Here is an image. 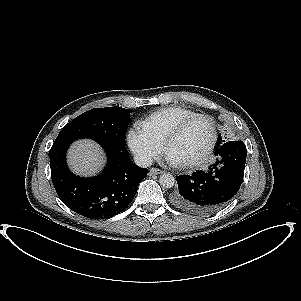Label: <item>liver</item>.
Returning <instances> with one entry per match:
<instances>
[{
    "mask_svg": "<svg viewBox=\"0 0 301 301\" xmlns=\"http://www.w3.org/2000/svg\"><path fill=\"white\" fill-rule=\"evenodd\" d=\"M104 163L105 155L101 147L94 141L78 140L69 149L68 164L78 175H94L103 167Z\"/></svg>",
    "mask_w": 301,
    "mask_h": 301,
    "instance_id": "1",
    "label": "liver"
}]
</instances>
